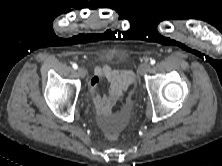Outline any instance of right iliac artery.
I'll list each match as a JSON object with an SVG mask.
<instances>
[{"label": "right iliac artery", "mask_w": 222, "mask_h": 166, "mask_svg": "<svg viewBox=\"0 0 222 166\" xmlns=\"http://www.w3.org/2000/svg\"><path fill=\"white\" fill-rule=\"evenodd\" d=\"M72 67H73L74 69H77V68H78V66H77L76 63H73V64H72Z\"/></svg>", "instance_id": "1"}]
</instances>
